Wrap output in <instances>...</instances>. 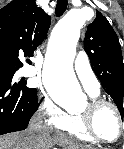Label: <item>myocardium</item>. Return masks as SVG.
Returning <instances> with one entry per match:
<instances>
[{"label":"myocardium","mask_w":124,"mask_h":149,"mask_svg":"<svg viewBox=\"0 0 124 149\" xmlns=\"http://www.w3.org/2000/svg\"><path fill=\"white\" fill-rule=\"evenodd\" d=\"M110 107L117 118L119 124V134L114 140H107L101 137L94 128V115L101 107ZM82 126L86 133L93 138L96 142L103 144H114L119 142L124 137V117L116 104L103 98H93L88 103L86 111L79 115Z\"/></svg>","instance_id":"obj_1"}]
</instances>
